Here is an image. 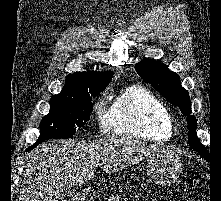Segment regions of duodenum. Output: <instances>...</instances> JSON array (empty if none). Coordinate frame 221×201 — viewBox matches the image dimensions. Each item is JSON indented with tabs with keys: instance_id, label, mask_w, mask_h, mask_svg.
<instances>
[{
	"instance_id": "1",
	"label": "duodenum",
	"mask_w": 221,
	"mask_h": 201,
	"mask_svg": "<svg viewBox=\"0 0 221 201\" xmlns=\"http://www.w3.org/2000/svg\"><path fill=\"white\" fill-rule=\"evenodd\" d=\"M84 197L83 196H78L76 201H84Z\"/></svg>"
}]
</instances>
